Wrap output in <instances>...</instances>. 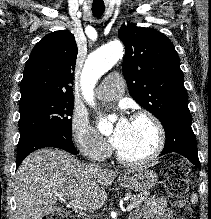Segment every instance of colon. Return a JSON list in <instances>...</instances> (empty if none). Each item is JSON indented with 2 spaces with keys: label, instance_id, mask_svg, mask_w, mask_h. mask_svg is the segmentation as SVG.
Wrapping results in <instances>:
<instances>
[{
  "label": "colon",
  "instance_id": "obj_1",
  "mask_svg": "<svg viewBox=\"0 0 211 219\" xmlns=\"http://www.w3.org/2000/svg\"><path fill=\"white\" fill-rule=\"evenodd\" d=\"M189 166L178 160L165 172V185L168 192L173 219H191V209L188 201ZM43 219H70L58 216H46Z\"/></svg>",
  "mask_w": 211,
  "mask_h": 219
}]
</instances>
